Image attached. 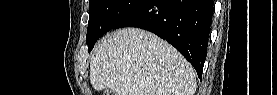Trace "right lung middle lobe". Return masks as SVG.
Segmentation results:
<instances>
[{
    "mask_svg": "<svg viewBox=\"0 0 277 95\" xmlns=\"http://www.w3.org/2000/svg\"><path fill=\"white\" fill-rule=\"evenodd\" d=\"M144 0H89V22L86 43L89 51L95 42L114 28Z\"/></svg>",
    "mask_w": 277,
    "mask_h": 95,
    "instance_id": "1",
    "label": "right lung middle lobe"
}]
</instances>
